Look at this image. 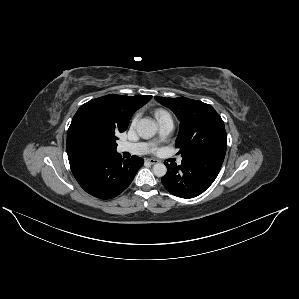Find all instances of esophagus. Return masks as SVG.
<instances>
[{
    "label": "esophagus",
    "mask_w": 299,
    "mask_h": 299,
    "mask_svg": "<svg viewBox=\"0 0 299 299\" xmlns=\"http://www.w3.org/2000/svg\"><path fill=\"white\" fill-rule=\"evenodd\" d=\"M145 162L153 165V164L158 163V160L157 159H153V158H147V159H145Z\"/></svg>",
    "instance_id": "esophagus-1"
}]
</instances>
